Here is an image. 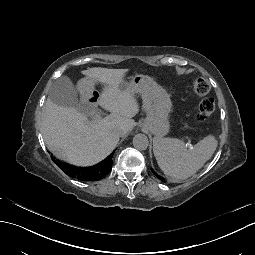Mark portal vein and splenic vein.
<instances>
[{
  "label": "portal vein and splenic vein",
  "mask_w": 255,
  "mask_h": 255,
  "mask_svg": "<svg viewBox=\"0 0 255 255\" xmlns=\"http://www.w3.org/2000/svg\"><path fill=\"white\" fill-rule=\"evenodd\" d=\"M101 119V115L100 114H96L95 115V118H94V121L97 122Z\"/></svg>",
  "instance_id": "1"
}]
</instances>
